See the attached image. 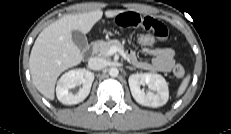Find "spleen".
I'll list each match as a JSON object with an SVG mask.
<instances>
[{"label": "spleen", "mask_w": 231, "mask_h": 134, "mask_svg": "<svg viewBox=\"0 0 231 134\" xmlns=\"http://www.w3.org/2000/svg\"><path fill=\"white\" fill-rule=\"evenodd\" d=\"M189 80H190V75H187L184 78V80L181 82V84H180V86L178 88L177 97H179L180 95H182L185 92V90H186V88H187V86L189 84Z\"/></svg>", "instance_id": "spleen-1"}]
</instances>
